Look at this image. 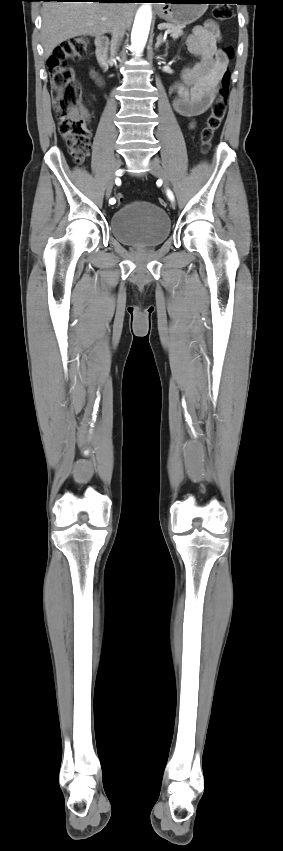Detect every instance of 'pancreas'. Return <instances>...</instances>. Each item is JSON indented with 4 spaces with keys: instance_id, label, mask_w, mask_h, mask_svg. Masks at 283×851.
<instances>
[{
    "instance_id": "obj_1",
    "label": "pancreas",
    "mask_w": 283,
    "mask_h": 851,
    "mask_svg": "<svg viewBox=\"0 0 283 851\" xmlns=\"http://www.w3.org/2000/svg\"><path fill=\"white\" fill-rule=\"evenodd\" d=\"M159 27L167 29L173 39H178L180 36L183 35L184 26L175 25L171 23H162L159 25Z\"/></svg>"
}]
</instances>
